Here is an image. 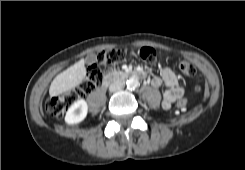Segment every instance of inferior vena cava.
Returning a JSON list of instances; mask_svg holds the SVG:
<instances>
[{
    "label": "inferior vena cava",
    "mask_w": 245,
    "mask_h": 170,
    "mask_svg": "<svg viewBox=\"0 0 245 170\" xmlns=\"http://www.w3.org/2000/svg\"><path fill=\"white\" fill-rule=\"evenodd\" d=\"M125 83L123 81H115L110 84L109 90L110 92H117L124 88Z\"/></svg>",
    "instance_id": "1"
}]
</instances>
